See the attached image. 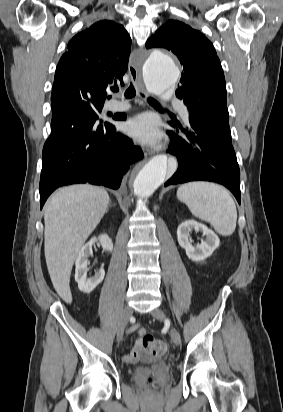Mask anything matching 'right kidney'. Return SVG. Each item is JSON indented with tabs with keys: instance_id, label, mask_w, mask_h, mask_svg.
I'll use <instances>...</instances> for the list:
<instances>
[{
	"instance_id": "right-kidney-1",
	"label": "right kidney",
	"mask_w": 283,
	"mask_h": 412,
	"mask_svg": "<svg viewBox=\"0 0 283 412\" xmlns=\"http://www.w3.org/2000/svg\"><path fill=\"white\" fill-rule=\"evenodd\" d=\"M95 242H99L104 251L111 252L113 250L112 240L107 234H102L98 238L93 237L81 248L75 262V281L78 283L79 290L84 293L92 292L105 276L104 269H100L94 276L87 278L88 257L93 254L92 245Z\"/></svg>"
}]
</instances>
